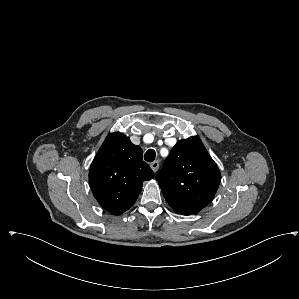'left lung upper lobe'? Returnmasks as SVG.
<instances>
[{"label": "left lung upper lobe", "instance_id": "5c2ea615", "mask_svg": "<svg viewBox=\"0 0 299 299\" xmlns=\"http://www.w3.org/2000/svg\"><path fill=\"white\" fill-rule=\"evenodd\" d=\"M168 204L182 215L196 214L214 198L221 174L198 136L180 140L157 174Z\"/></svg>", "mask_w": 299, "mask_h": 299}]
</instances>
